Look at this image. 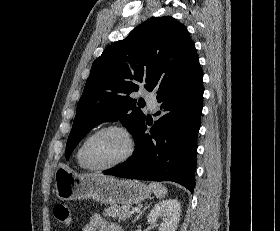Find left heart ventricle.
I'll use <instances>...</instances> for the list:
<instances>
[{"label":"left heart ventricle","instance_id":"1","mask_svg":"<svg viewBox=\"0 0 280 231\" xmlns=\"http://www.w3.org/2000/svg\"><path fill=\"white\" fill-rule=\"evenodd\" d=\"M125 149V138L119 132L107 131L90 141L86 157L91 164L104 166L120 158Z\"/></svg>","mask_w":280,"mask_h":231}]
</instances>
